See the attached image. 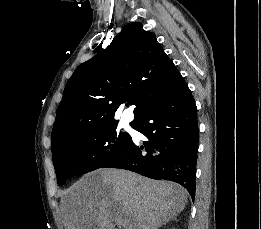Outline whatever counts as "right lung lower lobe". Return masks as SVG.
<instances>
[{"label": "right lung lower lobe", "mask_w": 261, "mask_h": 229, "mask_svg": "<svg viewBox=\"0 0 261 229\" xmlns=\"http://www.w3.org/2000/svg\"><path fill=\"white\" fill-rule=\"evenodd\" d=\"M197 108L191 91L179 79L133 128L149 141L131 143L101 168H120L183 186L194 200L199 142Z\"/></svg>", "instance_id": "obj_1"}]
</instances>
